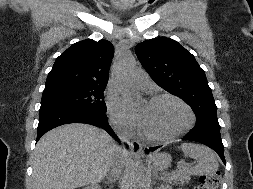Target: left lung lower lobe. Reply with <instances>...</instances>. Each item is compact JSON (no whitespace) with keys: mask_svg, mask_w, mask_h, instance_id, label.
<instances>
[{"mask_svg":"<svg viewBox=\"0 0 253 189\" xmlns=\"http://www.w3.org/2000/svg\"><path fill=\"white\" fill-rule=\"evenodd\" d=\"M183 140H192L203 143L214 149L220 156L224 164H226L224 157V147L221 141L220 125L213 124H196L183 138ZM158 147H151L148 151H154Z\"/></svg>","mask_w":253,"mask_h":189,"instance_id":"obj_1","label":"left lung lower lobe"}]
</instances>
